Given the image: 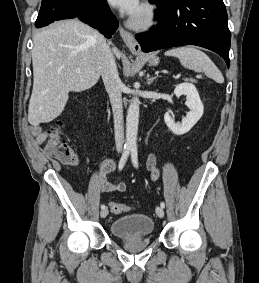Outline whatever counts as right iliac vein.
<instances>
[{
  "label": "right iliac vein",
  "instance_id": "63e3f726",
  "mask_svg": "<svg viewBox=\"0 0 259 283\" xmlns=\"http://www.w3.org/2000/svg\"><path fill=\"white\" fill-rule=\"evenodd\" d=\"M107 215H108V209L107 208L102 209V211L100 212L101 218H105Z\"/></svg>",
  "mask_w": 259,
  "mask_h": 283
}]
</instances>
